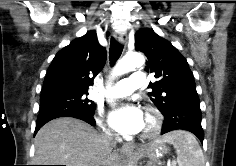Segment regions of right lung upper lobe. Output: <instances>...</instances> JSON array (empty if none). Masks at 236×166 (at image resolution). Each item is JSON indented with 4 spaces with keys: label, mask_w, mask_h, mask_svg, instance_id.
<instances>
[{
    "label": "right lung upper lobe",
    "mask_w": 236,
    "mask_h": 166,
    "mask_svg": "<svg viewBox=\"0 0 236 166\" xmlns=\"http://www.w3.org/2000/svg\"><path fill=\"white\" fill-rule=\"evenodd\" d=\"M106 49L101 46L95 31H88L61 49L49 66L42 90L53 87H68L87 91L93 78L104 67Z\"/></svg>",
    "instance_id": "obj_1"
}]
</instances>
